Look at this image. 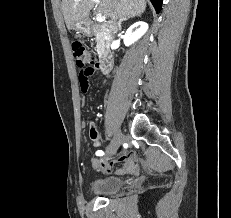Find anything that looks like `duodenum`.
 Returning <instances> with one entry per match:
<instances>
[{"mask_svg":"<svg viewBox=\"0 0 231 218\" xmlns=\"http://www.w3.org/2000/svg\"><path fill=\"white\" fill-rule=\"evenodd\" d=\"M84 26L87 29H89L91 27L96 32H101L104 34L108 33V29L104 26H99V25L90 26V24L88 22L84 23ZM113 64H114V61H113L112 56L109 54H103L101 59H100L98 68L102 73L107 74L112 70Z\"/></svg>","mask_w":231,"mask_h":218,"instance_id":"duodenum-1","label":"duodenum"}]
</instances>
